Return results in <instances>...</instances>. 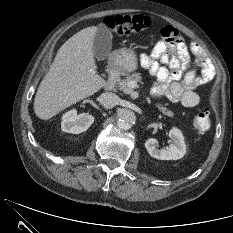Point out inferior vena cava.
Segmentation results:
<instances>
[{"label":"inferior vena cava","mask_w":233,"mask_h":233,"mask_svg":"<svg viewBox=\"0 0 233 233\" xmlns=\"http://www.w3.org/2000/svg\"><path fill=\"white\" fill-rule=\"evenodd\" d=\"M118 96L112 92L102 93L99 97L101 105L107 109L113 108L118 104Z\"/></svg>","instance_id":"1"}]
</instances>
